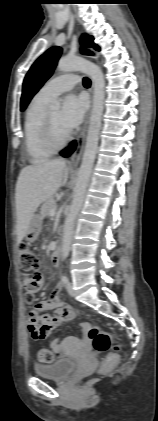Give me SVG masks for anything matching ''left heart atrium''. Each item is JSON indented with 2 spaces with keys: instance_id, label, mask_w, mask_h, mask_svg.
<instances>
[{
  "instance_id": "39dd6f15",
  "label": "left heart atrium",
  "mask_w": 158,
  "mask_h": 421,
  "mask_svg": "<svg viewBox=\"0 0 158 421\" xmlns=\"http://www.w3.org/2000/svg\"><path fill=\"white\" fill-rule=\"evenodd\" d=\"M86 107V100L82 96L69 95L65 98L61 109V123L68 132L81 123Z\"/></svg>"
}]
</instances>
